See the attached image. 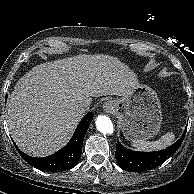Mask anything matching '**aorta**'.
<instances>
[{
  "mask_svg": "<svg viewBox=\"0 0 194 194\" xmlns=\"http://www.w3.org/2000/svg\"><path fill=\"white\" fill-rule=\"evenodd\" d=\"M95 124L97 130L103 134H111L114 131L112 121L105 115H99L96 118Z\"/></svg>",
  "mask_w": 194,
  "mask_h": 194,
  "instance_id": "obj_1",
  "label": "aorta"
}]
</instances>
